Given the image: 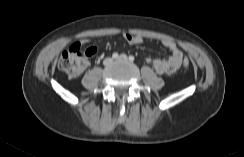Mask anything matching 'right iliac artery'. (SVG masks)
<instances>
[{
  "label": "right iliac artery",
  "mask_w": 244,
  "mask_h": 157,
  "mask_svg": "<svg viewBox=\"0 0 244 157\" xmlns=\"http://www.w3.org/2000/svg\"><path fill=\"white\" fill-rule=\"evenodd\" d=\"M117 57H118V53L115 52L112 54V58L116 59Z\"/></svg>",
  "instance_id": "82829eb1"
}]
</instances>
